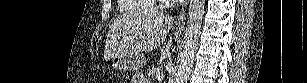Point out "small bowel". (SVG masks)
Masks as SVG:
<instances>
[{"label": "small bowel", "mask_w": 307, "mask_h": 83, "mask_svg": "<svg viewBox=\"0 0 307 83\" xmlns=\"http://www.w3.org/2000/svg\"><path fill=\"white\" fill-rule=\"evenodd\" d=\"M133 83H147V81L145 80L143 74L141 73H137L134 75L133 77Z\"/></svg>", "instance_id": "c3829d8e"}]
</instances>
